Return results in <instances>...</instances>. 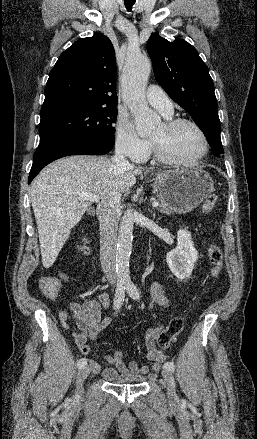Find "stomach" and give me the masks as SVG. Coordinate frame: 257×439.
<instances>
[{
  "instance_id": "obj_1",
  "label": "stomach",
  "mask_w": 257,
  "mask_h": 439,
  "mask_svg": "<svg viewBox=\"0 0 257 439\" xmlns=\"http://www.w3.org/2000/svg\"><path fill=\"white\" fill-rule=\"evenodd\" d=\"M154 192L174 212L186 214L197 208L213 191L212 177L199 168L170 170L156 174Z\"/></svg>"
}]
</instances>
